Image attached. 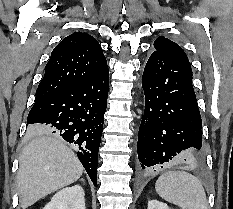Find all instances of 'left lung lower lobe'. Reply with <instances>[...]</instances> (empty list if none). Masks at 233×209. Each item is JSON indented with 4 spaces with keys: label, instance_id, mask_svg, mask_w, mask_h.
I'll use <instances>...</instances> for the list:
<instances>
[{
    "label": "left lung lower lobe",
    "instance_id": "obj_1",
    "mask_svg": "<svg viewBox=\"0 0 233 209\" xmlns=\"http://www.w3.org/2000/svg\"><path fill=\"white\" fill-rule=\"evenodd\" d=\"M145 112L138 136L142 169L202 160V121L192 86V69L185 62L153 53L142 78Z\"/></svg>",
    "mask_w": 233,
    "mask_h": 209
}]
</instances>
